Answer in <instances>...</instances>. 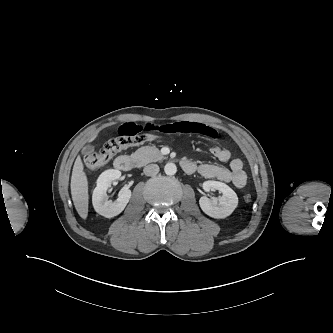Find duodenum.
I'll use <instances>...</instances> for the list:
<instances>
[{"label":"duodenum","instance_id":"410a0bca","mask_svg":"<svg viewBox=\"0 0 333 333\" xmlns=\"http://www.w3.org/2000/svg\"><path fill=\"white\" fill-rule=\"evenodd\" d=\"M137 163H138V161L133 157L119 156L115 159L114 166L118 170L128 171V170L132 169ZM181 166H182L183 170L186 172H187L188 168L191 167L190 163L187 160H183L181 162Z\"/></svg>","mask_w":333,"mask_h":333}]
</instances>
